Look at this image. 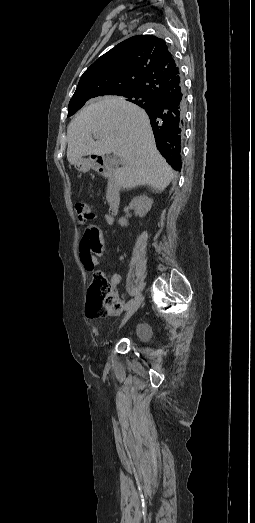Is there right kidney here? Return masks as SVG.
Returning a JSON list of instances; mask_svg holds the SVG:
<instances>
[{"label":"right kidney","mask_w":255,"mask_h":523,"mask_svg":"<svg viewBox=\"0 0 255 523\" xmlns=\"http://www.w3.org/2000/svg\"><path fill=\"white\" fill-rule=\"evenodd\" d=\"M153 204L152 198H148V196H136V198H133L130 202V208H134L136 214L140 216V218H143L149 210H151V206ZM120 226H128L127 220L125 218H120L119 220Z\"/></svg>","instance_id":"1"}]
</instances>
